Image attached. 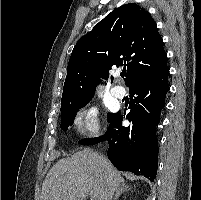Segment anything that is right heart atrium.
Masks as SVG:
<instances>
[{
	"label": "right heart atrium",
	"mask_w": 201,
	"mask_h": 200,
	"mask_svg": "<svg viewBox=\"0 0 201 200\" xmlns=\"http://www.w3.org/2000/svg\"><path fill=\"white\" fill-rule=\"evenodd\" d=\"M76 129L87 135L95 136L100 131L98 110L95 107L81 109L74 120Z\"/></svg>",
	"instance_id": "1"
}]
</instances>
